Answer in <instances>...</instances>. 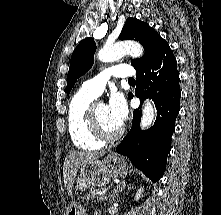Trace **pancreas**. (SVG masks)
Masks as SVG:
<instances>
[{
    "label": "pancreas",
    "instance_id": "cf45deb5",
    "mask_svg": "<svg viewBox=\"0 0 221 215\" xmlns=\"http://www.w3.org/2000/svg\"><path fill=\"white\" fill-rule=\"evenodd\" d=\"M93 188L90 189L89 193H87L82 200L85 201L86 203H88L89 201L93 200V199H98L100 196L96 195L93 193Z\"/></svg>",
    "mask_w": 221,
    "mask_h": 215
}]
</instances>
